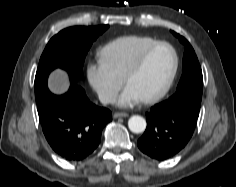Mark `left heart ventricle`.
<instances>
[{
  "label": "left heart ventricle",
  "mask_w": 236,
  "mask_h": 187,
  "mask_svg": "<svg viewBox=\"0 0 236 187\" xmlns=\"http://www.w3.org/2000/svg\"><path fill=\"white\" fill-rule=\"evenodd\" d=\"M173 66V54L167 47L155 49L146 59L141 70L133 76L127 86L140 99L158 92L166 83Z\"/></svg>",
  "instance_id": "obj_1"
}]
</instances>
